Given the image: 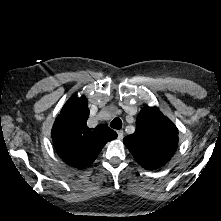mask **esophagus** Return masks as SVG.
<instances>
[{
    "instance_id": "34e87169",
    "label": "esophagus",
    "mask_w": 221,
    "mask_h": 221,
    "mask_svg": "<svg viewBox=\"0 0 221 221\" xmlns=\"http://www.w3.org/2000/svg\"><path fill=\"white\" fill-rule=\"evenodd\" d=\"M117 134H118V139L122 140L123 137H124V132H123V130H118V131H117Z\"/></svg>"
}]
</instances>
